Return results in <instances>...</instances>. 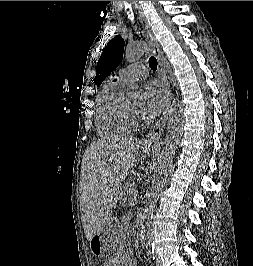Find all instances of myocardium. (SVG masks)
<instances>
[{
  "mask_svg": "<svg viewBox=\"0 0 253 266\" xmlns=\"http://www.w3.org/2000/svg\"><path fill=\"white\" fill-rule=\"evenodd\" d=\"M121 113L126 120V122L131 126V127H137L140 122V117L138 114L134 113L131 111V109L128 106L127 99L126 97H123L122 102H121Z\"/></svg>",
  "mask_w": 253,
  "mask_h": 266,
  "instance_id": "1",
  "label": "myocardium"
}]
</instances>
